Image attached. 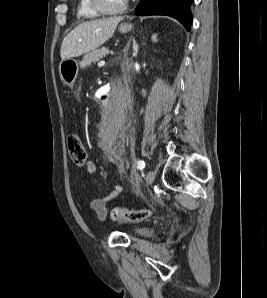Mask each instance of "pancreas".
I'll return each mask as SVG.
<instances>
[{
  "instance_id": "cf45deb5",
  "label": "pancreas",
  "mask_w": 267,
  "mask_h": 298,
  "mask_svg": "<svg viewBox=\"0 0 267 298\" xmlns=\"http://www.w3.org/2000/svg\"><path fill=\"white\" fill-rule=\"evenodd\" d=\"M108 52H109L108 48L102 47V48L95 49V50L87 53L83 57V60L80 62V67L84 68V67L90 65L92 62L99 61L100 58H102L105 55H107Z\"/></svg>"
}]
</instances>
